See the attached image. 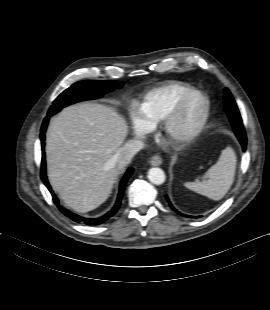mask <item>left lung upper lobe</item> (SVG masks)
<instances>
[{
	"instance_id": "left-lung-upper-lobe-1",
	"label": "left lung upper lobe",
	"mask_w": 270,
	"mask_h": 310,
	"mask_svg": "<svg viewBox=\"0 0 270 310\" xmlns=\"http://www.w3.org/2000/svg\"><path fill=\"white\" fill-rule=\"evenodd\" d=\"M224 104L235 134L245 133L238 107L227 88L225 89Z\"/></svg>"
}]
</instances>
